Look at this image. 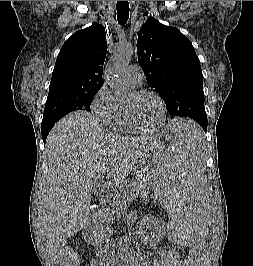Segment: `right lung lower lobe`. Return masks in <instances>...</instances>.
<instances>
[{
  "instance_id": "right-lung-lower-lobe-1",
  "label": "right lung lower lobe",
  "mask_w": 253,
  "mask_h": 266,
  "mask_svg": "<svg viewBox=\"0 0 253 266\" xmlns=\"http://www.w3.org/2000/svg\"><path fill=\"white\" fill-rule=\"evenodd\" d=\"M53 126L51 127H46V128H41V133H42V139H43V142L45 144L46 142V138L49 134V131L52 129Z\"/></svg>"
}]
</instances>
